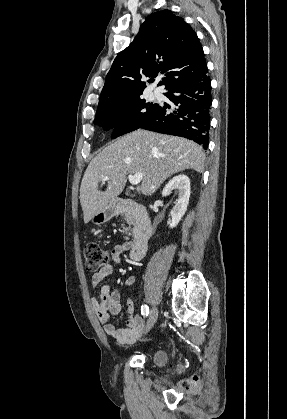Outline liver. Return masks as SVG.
<instances>
[{
    "mask_svg": "<svg viewBox=\"0 0 287 419\" xmlns=\"http://www.w3.org/2000/svg\"><path fill=\"white\" fill-rule=\"evenodd\" d=\"M186 169L203 172L202 147L185 138L136 130L105 147L89 163L80 186L84 222L103 210L123 191L128 174L142 173L140 190L152 195L170 176ZM104 176L105 191L98 189Z\"/></svg>",
    "mask_w": 287,
    "mask_h": 419,
    "instance_id": "1",
    "label": "liver"
}]
</instances>
